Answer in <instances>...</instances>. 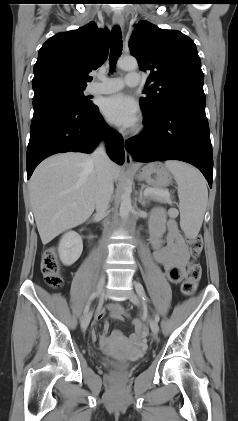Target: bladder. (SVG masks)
<instances>
[{
	"label": "bladder",
	"mask_w": 238,
	"mask_h": 421,
	"mask_svg": "<svg viewBox=\"0 0 238 421\" xmlns=\"http://www.w3.org/2000/svg\"><path fill=\"white\" fill-rule=\"evenodd\" d=\"M103 365L105 367H108V368H125V367H127V364L121 363V362H118V361H115V360H105L103 362Z\"/></svg>",
	"instance_id": "1"
}]
</instances>
